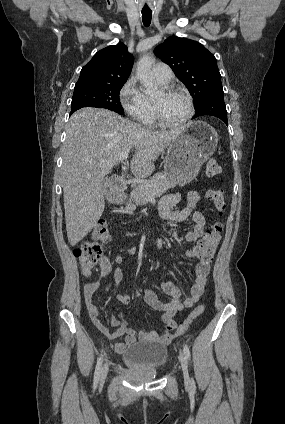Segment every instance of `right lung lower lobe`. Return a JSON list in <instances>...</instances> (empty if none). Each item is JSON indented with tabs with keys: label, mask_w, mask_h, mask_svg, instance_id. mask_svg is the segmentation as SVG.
<instances>
[{
	"label": "right lung lower lobe",
	"mask_w": 285,
	"mask_h": 424,
	"mask_svg": "<svg viewBox=\"0 0 285 424\" xmlns=\"http://www.w3.org/2000/svg\"><path fill=\"white\" fill-rule=\"evenodd\" d=\"M82 107H86V106H75V107H72L70 115H71L72 113H74L76 110H78V109H80V108H82Z\"/></svg>",
	"instance_id": "right-lung-lower-lobe-1"
}]
</instances>
